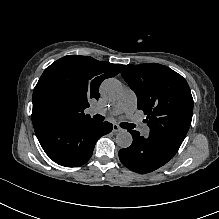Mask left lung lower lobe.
Wrapping results in <instances>:
<instances>
[{"label":"left lung lower lobe","mask_w":219,"mask_h":219,"mask_svg":"<svg viewBox=\"0 0 219 219\" xmlns=\"http://www.w3.org/2000/svg\"><path fill=\"white\" fill-rule=\"evenodd\" d=\"M130 133L133 142L128 148L119 151V158L122 164L133 172H152L169 162L177 153L175 149L150 135L140 136L135 130Z\"/></svg>","instance_id":"left-lung-lower-lobe-1"}]
</instances>
